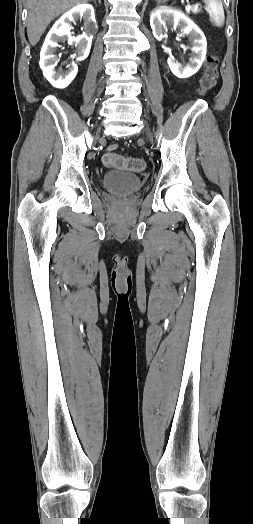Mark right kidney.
I'll list each match as a JSON object with an SVG mask.
<instances>
[{"label":"right kidney","instance_id":"1","mask_svg":"<svg viewBox=\"0 0 253 524\" xmlns=\"http://www.w3.org/2000/svg\"><path fill=\"white\" fill-rule=\"evenodd\" d=\"M83 19L84 30L80 36L71 35V22ZM97 25L95 20L94 8L89 4H81L63 14L58 19L46 36L40 52V67L44 77L56 88H66L75 78L78 67L75 62L68 66L67 71L55 70V55L58 42L68 41L76 48V60H85L90 52L93 34L96 33Z\"/></svg>","mask_w":253,"mask_h":524}]
</instances>
